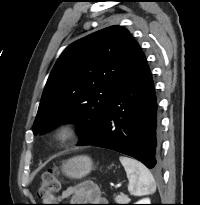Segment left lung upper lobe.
I'll return each mask as SVG.
<instances>
[{"mask_svg": "<svg viewBox=\"0 0 200 205\" xmlns=\"http://www.w3.org/2000/svg\"><path fill=\"white\" fill-rule=\"evenodd\" d=\"M136 45L125 28L111 26L68 46L57 60L33 124L36 135L63 122H76L90 142L112 103L115 86Z\"/></svg>", "mask_w": 200, "mask_h": 205, "instance_id": "1", "label": "left lung upper lobe"}]
</instances>
